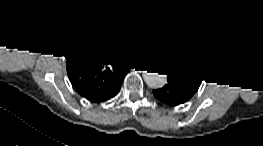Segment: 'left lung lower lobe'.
<instances>
[{"label": "left lung lower lobe", "instance_id": "obj_1", "mask_svg": "<svg viewBox=\"0 0 263 146\" xmlns=\"http://www.w3.org/2000/svg\"><path fill=\"white\" fill-rule=\"evenodd\" d=\"M167 81L162 88L153 90L154 96L161 102L176 106L187 102L194 95L176 80L168 78Z\"/></svg>", "mask_w": 263, "mask_h": 146}]
</instances>
